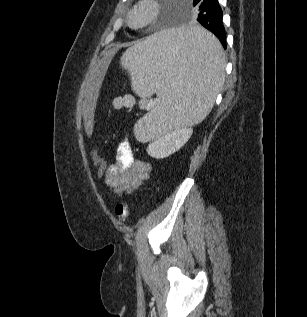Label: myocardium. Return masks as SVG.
Here are the masks:
<instances>
[{
	"label": "myocardium",
	"instance_id": "1",
	"mask_svg": "<svg viewBox=\"0 0 307 317\" xmlns=\"http://www.w3.org/2000/svg\"><path fill=\"white\" fill-rule=\"evenodd\" d=\"M162 5L159 0H138L127 15V23L134 30L152 24L160 15Z\"/></svg>",
	"mask_w": 307,
	"mask_h": 317
}]
</instances>
